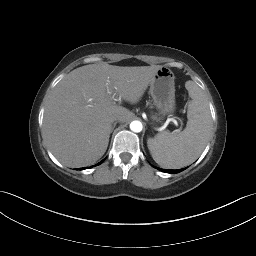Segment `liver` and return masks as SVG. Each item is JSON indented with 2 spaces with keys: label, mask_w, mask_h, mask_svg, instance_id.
I'll return each mask as SVG.
<instances>
[{
  "label": "liver",
  "mask_w": 256,
  "mask_h": 256,
  "mask_svg": "<svg viewBox=\"0 0 256 256\" xmlns=\"http://www.w3.org/2000/svg\"><path fill=\"white\" fill-rule=\"evenodd\" d=\"M162 66L121 67L107 63L74 69L54 88L45 107L43 133L53 155L65 166H88L108 147L113 115L126 122L128 109L116 105V92L123 100L139 102Z\"/></svg>",
  "instance_id": "6515ba94"
}]
</instances>
